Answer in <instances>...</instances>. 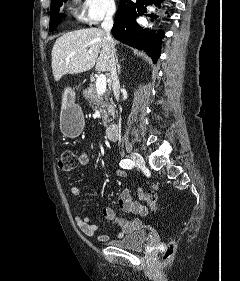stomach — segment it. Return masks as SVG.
<instances>
[{
  "label": "stomach",
  "instance_id": "1",
  "mask_svg": "<svg viewBox=\"0 0 240 281\" xmlns=\"http://www.w3.org/2000/svg\"><path fill=\"white\" fill-rule=\"evenodd\" d=\"M84 128V116L82 109L75 103V92L66 88L63 93V102L60 111V129L70 138H75Z\"/></svg>",
  "mask_w": 240,
  "mask_h": 281
}]
</instances>
